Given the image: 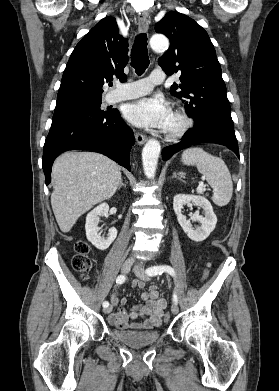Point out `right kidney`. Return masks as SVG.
Returning <instances> with one entry per match:
<instances>
[{"mask_svg":"<svg viewBox=\"0 0 279 391\" xmlns=\"http://www.w3.org/2000/svg\"><path fill=\"white\" fill-rule=\"evenodd\" d=\"M109 205L102 203L94 208L86 217V237L97 249L106 250L117 237V229L111 228L107 237L101 236L100 227L98 226L100 217L107 216Z\"/></svg>","mask_w":279,"mask_h":391,"instance_id":"ca27d5eb","label":"right kidney"}]
</instances>
